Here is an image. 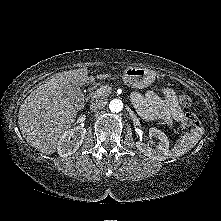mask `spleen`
Returning <instances> with one entry per match:
<instances>
[{"label":"spleen","instance_id":"spleen-1","mask_svg":"<svg viewBox=\"0 0 221 221\" xmlns=\"http://www.w3.org/2000/svg\"><path fill=\"white\" fill-rule=\"evenodd\" d=\"M203 134L202 129L187 133L179 138L170 152V157H180L191 150L200 140Z\"/></svg>","mask_w":221,"mask_h":221}]
</instances>
